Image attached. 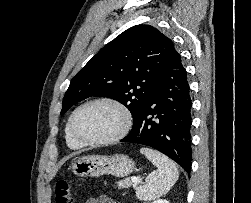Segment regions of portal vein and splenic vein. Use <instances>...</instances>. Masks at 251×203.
Listing matches in <instances>:
<instances>
[{"label": "portal vein and splenic vein", "instance_id": "obj_1", "mask_svg": "<svg viewBox=\"0 0 251 203\" xmlns=\"http://www.w3.org/2000/svg\"><path fill=\"white\" fill-rule=\"evenodd\" d=\"M131 180H132V182L135 183V184L138 182V179H137L136 177L131 178Z\"/></svg>", "mask_w": 251, "mask_h": 203}]
</instances>
